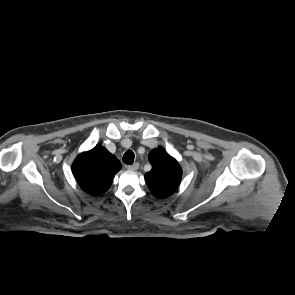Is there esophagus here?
I'll list each match as a JSON object with an SVG mask.
<instances>
[{
  "label": "esophagus",
  "instance_id": "34e87169",
  "mask_svg": "<svg viewBox=\"0 0 295 295\" xmlns=\"http://www.w3.org/2000/svg\"><path fill=\"white\" fill-rule=\"evenodd\" d=\"M139 168V164L138 163H134V164H131V165H128L127 166V169L128 170H132V171H135Z\"/></svg>",
  "mask_w": 295,
  "mask_h": 295
}]
</instances>
